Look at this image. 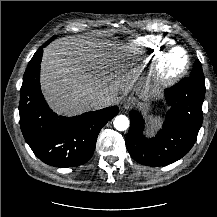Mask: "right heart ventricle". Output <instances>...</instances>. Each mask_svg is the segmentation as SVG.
Wrapping results in <instances>:
<instances>
[{
	"instance_id": "obj_1",
	"label": "right heart ventricle",
	"mask_w": 217,
	"mask_h": 217,
	"mask_svg": "<svg viewBox=\"0 0 217 217\" xmlns=\"http://www.w3.org/2000/svg\"><path fill=\"white\" fill-rule=\"evenodd\" d=\"M171 46L170 39L162 36H147L134 41L130 50L138 55H150L151 59L159 56L166 48Z\"/></svg>"
}]
</instances>
